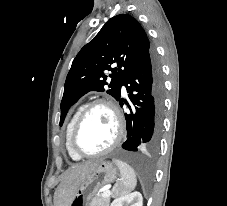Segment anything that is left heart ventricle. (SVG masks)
<instances>
[{
  "instance_id": "left-heart-ventricle-1",
  "label": "left heart ventricle",
  "mask_w": 227,
  "mask_h": 206,
  "mask_svg": "<svg viewBox=\"0 0 227 206\" xmlns=\"http://www.w3.org/2000/svg\"><path fill=\"white\" fill-rule=\"evenodd\" d=\"M116 134L115 119L106 106L94 107L85 117L77 134V146L86 153L107 148Z\"/></svg>"
}]
</instances>
